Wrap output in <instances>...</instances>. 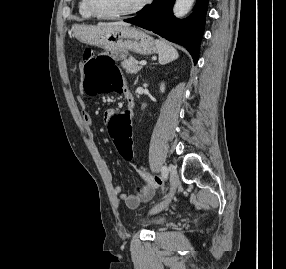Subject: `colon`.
Here are the masks:
<instances>
[{
    "mask_svg": "<svg viewBox=\"0 0 286 269\" xmlns=\"http://www.w3.org/2000/svg\"><path fill=\"white\" fill-rule=\"evenodd\" d=\"M130 49H105L100 56L86 49L84 52V88L88 92L119 91L123 86V74L115 62H126ZM109 116V137L113 138L120 159L136 160V142L131 140L132 113L123 108ZM129 168H138V163H129ZM139 174V172H138ZM157 183V180H152Z\"/></svg>",
    "mask_w": 286,
    "mask_h": 269,
    "instance_id": "1",
    "label": "colon"
}]
</instances>
